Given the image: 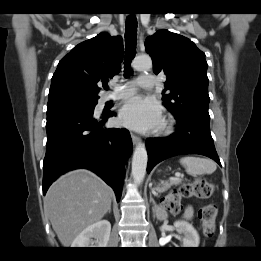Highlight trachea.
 <instances>
[{
	"label": "trachea",
	"mask_w": 261,
	"mask_h": 261,
	"mask_svg": "<svg viewBox=\"0 0 261 261\" xmlns=\"http://www.w3.org/2000/svg\"><path fill=\"white\" fill-rule=\"evenodd\" d=\"M137 41V18L134 14L130 15L126 19L125 28V59H124V76L131 75L132 70L130 68L131 61L135 55ZM108 89V86H104Z\"/></svg>",
	"instance_id": "1"
}]
</instances>
